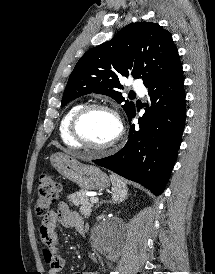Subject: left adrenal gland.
<instances>
[{
  "label": "left adrenal gland",
  "instance_id": "1",
  "mask_svg": "<svg viewBox=\"0 0 215 274\" xmlns=\"http://www.w3.org/2000/svg\"><path fill=\"white\" fill-rule=\"evenodd\" d=\"M103 203H106V201H101L99 204H97V206L95 207L96 209L100 206V205H102Z\"/></svg>",
  "mask_w": 215,
  "mask_h": 274
}]
</instances>
